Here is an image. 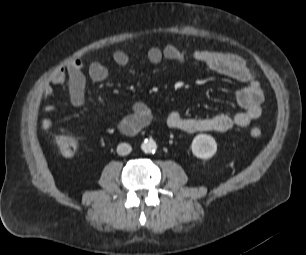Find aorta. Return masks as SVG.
<instances>
[{
  "label": "aorta",
  "mask_w": 306,
  "mask_h": 255,
  "mask_svg": "<svg viewBox=\"0 0 306 255\" xmlns=\"http://www.w3.org/2000/svg\"><path fill=\"white\" fill-rule=\"evenodd\" d=\"M141 149L144 153L146 154H151L154 153L157 149V144L154 140L152 139H146L145 141H143V143L141 144Z\"/></svg>",
  "instance_id": "762f6f07"
}]
</instances>
